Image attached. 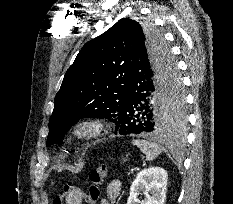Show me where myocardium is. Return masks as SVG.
Here are the masks:
<instances>
[{
    "instance_id": "f54148a6",
    "label": "myocardium",
    "mask_w": 233,
    "mask_h": 204,
    "mask_svg": "<svg viewBox=\"0 0 233 204\" xmlns=\"http://www.w3.org/2000/svg\"><path fill=\"white\" fill-rule=\"evenodd\" d=\"M105 129V123L99 118L83 119L71 128L72 136L81 141H88L99 137Z\"/></svg>"
}]
</instances>
